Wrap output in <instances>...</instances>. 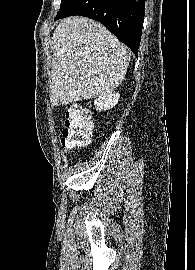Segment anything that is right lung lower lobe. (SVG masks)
Instances as JSON below:
<instances>
[{
	"mask_svg": "<svg viewBox=\"0 0 195 270\" xmlns=\"http://www.w3.org/2000/svg\"><path fill=\"white\" fill-rule=\"evenodd\" d=\"M144 13V0H75L54 20L81 15L99 21L138 56Z\"/></svg>",
	"mask_w": 195,
	"mask_h": 270,
	"instance_id": "98d812e1",
	"label": "right lung lower lobe"
}]
</instances>
